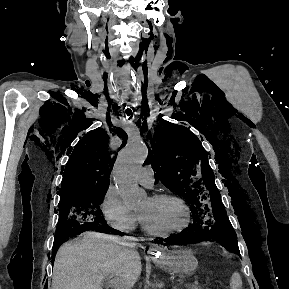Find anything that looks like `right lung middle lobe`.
I'll return each mask as SVG.
<instances>
[{
	"instance_id": "dd1d6c3e",
	"label": "right lung middle lobe",
	"mask_w": 289,
	"mask_h": 289,
	"mask_svg": "<svg viewBox=\"0 0 289 289\" xmlns=\"http://www.w3.org/2000/svg\"><path fill=\"white\" fill-rule=\"evenodd\" d=\"M106 192L107 189H102L61 197L55 236H65L76 230L105 224L100 204Z\"/></svg>"
}]
</instances>
